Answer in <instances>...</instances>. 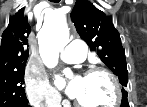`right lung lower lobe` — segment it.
Wrapping results in <instances>:
<instances>
[{
  "instance_id": "98d812e1",
  "label": "right lung lower lobe",
  "mask_w": 147,
  "mask_h": 107,
  "mask_svg": "<svg viewBox=\"0 0 147 107\" xmlns=\"http://www.w3.org/2000/svg\"><path fill=\"white\" fill-rule=\"evenodd\" d=\"M21 107H30L29 105H23V106H21Z\"/></svg>"
}]
</instances>
